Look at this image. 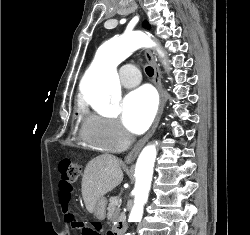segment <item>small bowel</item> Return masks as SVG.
I'll use <instances>...</instances> for the list:
<instances>
[{
  "label": "small bowel",
  "instance_id": "small-bowel-1",
  "mask_svg": "<svg viewBox=\"0 0 250 235\" xmlns=\"http://www.w3.org/2000/svg\"><path fill=\"white\" fill-rule=\"evenodd\" d=\"M71 192L69 193H59L58 202L62 208L63 214L65 215L68 210V205L70 202ZM90 231L89 235H98L99 233L95 229H88ZM81 235H85L82 231H80Z\"/></svg>",
  "mask_w": 250,
  "mask_h": 235
}]
</instances>
